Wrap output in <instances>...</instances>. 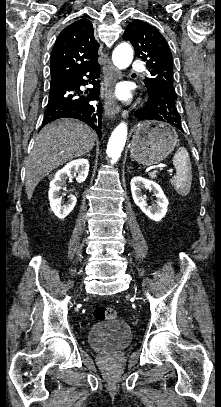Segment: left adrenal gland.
Here are the masks:
<instances>
[{
  "mask_svg": "<svg viewBox=\"0 0 221 407\" xmlns=\"http://www.w3.org/2000/svg\"><path fill=\"white\" fill-rule=\"evenodd\" d=\"M128 169H132V167H128Z\"/></svg>",
  "mask_w": 221,
  "mask_h": 407,
  "instance_id": "a2214340",
  "label": "left adrenal gland"
}]
</instances>
